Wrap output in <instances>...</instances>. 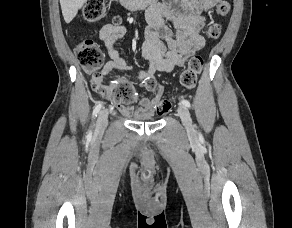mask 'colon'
I'll return each mask as SVG.
<instances>
[{
    "mask_svg": "<svg viewBox=\"0 0 292 228\" xmlns=\"http://www.w3.org/2000/svg\"><path fill=\"white\" fill-rule=\"evenodd\" d=\"M231 11V4L228 0H217L215 13L219 17L227 16ZM106 12L105 0H88L82 8V17L88 22H95L102 19ZM112 24H120L118 18H114ZM221 35V26L212 24L206 30V37L216 40ZM76 58L82 69L92 75L91 84L93 89L109 98L115 103L125 104L132 99L131 89L121 82L114 87H108L103 83V76L100 72L104 63V55L100 46L91 39L83 40L75 47ZM204 60L200 55H193L187 64L186 69L180 76L181 85L186 89L195 87L198 76L202 72ZM172 99H163L157 107V113L162 115L167 113L172 107Z\"/></svg>",
    "mask_w": 292,
    "mask_h": 228,
    "instance_id": "colon-1",
    "label": "colon"
}]
</instances>
